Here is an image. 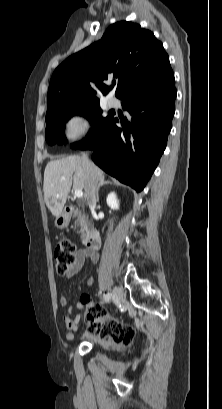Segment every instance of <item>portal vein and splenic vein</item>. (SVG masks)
I'll return each mask as SVG.
<instances>
[{"instance_id": "1", "label": "portal vein and splenic vein", "mask_w": 222, "mask_h": 409, "mask_svg": "<svg viewBox=\"0 0 222 409\" xmlns=\"http://www.w3.org/2000/svg\"><path fill=\"white\" fill-rule=\"evenodd\" d=\"M62 180H64V178H62ZM75 196L81 198L83 196L82 190H75Z\"/></svg>"}]
</instances>
